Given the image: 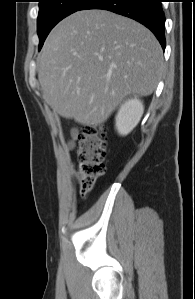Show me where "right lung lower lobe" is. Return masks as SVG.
<instances>
[{
    "label": "right lung lower lobe",
    "mask_w": 195,
    "mask_h": 299,
    "mask_svg": "<svg viewBox=\"0 0 195 299\" xmlns=\"http://www.w3.org/2000/svg\"><path fill=\"white\" fill-rule=\"evenodd\" d=\"M162 0H88L80 10L103 9L131 19L153 32L165 49V15Z\"/></svg>",
    "instance_id": "right-lung-lower-lobe-1"
}]
</instances>
